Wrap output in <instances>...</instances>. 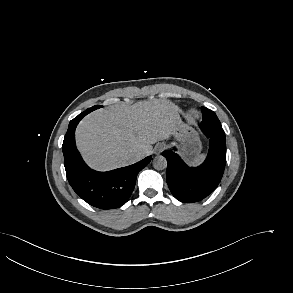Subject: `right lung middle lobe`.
<instances>
[{"mask_svg": "<svg viewBox=\"0 0 293 293\" xmlns=\"http://www.w3.org/2000/svg\"><path fill=\"white\" fill-rule=\"evenodd\" d=\"M98 108H100V106H98V105L93 106V107L90 109V111H93V110L98 109Z\"/></svg>", "mask_w": 293, "mask_h": 293, "instance_id": "right-lung-middle-lobe-1", "label": "right lung middle lobe"}]
</instances>
